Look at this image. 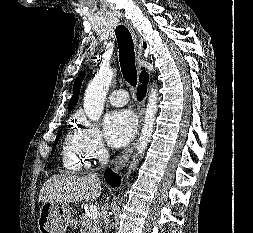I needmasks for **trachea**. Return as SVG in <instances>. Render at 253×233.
<instances>
[{
    "instance_id": "1",
    "label": "trachea",
    "mask_w": 253,
    "mask_h": 233,
    "mask_svg": "<svg viewBox=\"0 0 253 233\" xmlns=\"http://www.w3.org/2000/svg\"><path fill=\"white\" fill-rule=\"evenodd\" d=\"M115 34L119 45V61L123 77L129 84L136 86L137 71L132 36L124 25H119Z\"/></svg>"
}]
</instances>
